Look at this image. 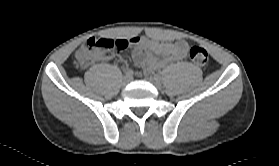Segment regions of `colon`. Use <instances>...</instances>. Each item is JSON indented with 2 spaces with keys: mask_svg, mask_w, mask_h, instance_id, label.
<instances>
[{
  "mask_svg": "<svg viewBox=\"0 0 279 166\" xmlns=\"http://www.w3.org/2000/svg\"><path fill=\"white\" fill-rule=\"evenodd\" d=\"M129 45L125 39L91 38L87 40L74 55V64L78 68H86L95 60L108 56L113 50L122 51ZM189 58L197 66H206L209 60L207 51L200 46H191Z\"/></svg>",
  "mask_w": 279,
  "mask_h": 166,
  "instance_id": "colon-1",
  "label": "colon"
}]
</instances>
